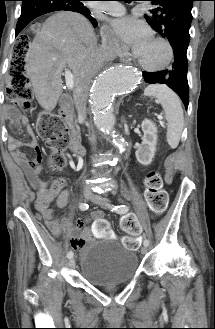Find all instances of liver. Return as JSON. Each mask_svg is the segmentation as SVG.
I'll use <instances>...</instances> for the list:
<instances>
[{
  "mask_svg": "<svg viewBox=\"0 0 215 329\" xmlns=\"http://www.w3.org/2000/svg\"><path fill=\"white\" fill-rule=\"evenodd\" d=\"M97 48L92 25L78 13L58 12L44 22L26 55V71L42 108L56 107L63 92V70H72L76 85L88 56ZM100 67H91L92 77Z\"/></svg>",
  "mask_w": 215,
  "mask_h": 329,
  "instance_id": "liver-1",
  "label": "liver"
}]
</instances>
